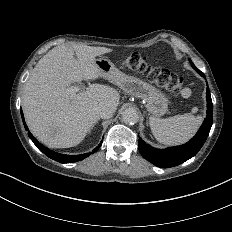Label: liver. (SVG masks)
<instances>
[{"label": "liver", "mask_w": 232, "mask_h": 232, "mask_svg": "<svg viewBox=\"0 0 232 232\" xmlns=\"http://www.w3.org/2000/svg\"><path fill=\"white\" fill-rule=\"evenodd\" d=\"M111 52L106 47L62 44L38 61L24 87L22 107L30 131L45 145L75 147L99 122L98 107L116 112L120 94L107 85L93 83L74 95L68 92L71 83L100 78L96 59Z\"/></svg>", "instance_id": "obj_1"}]
</instances>
